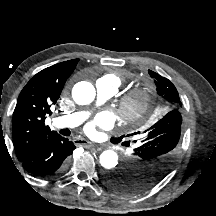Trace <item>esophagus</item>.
<instances>
[{
  "label": "esophagus",
  "mask_w": 216,
  "mask_h": 216,
  "mask_svg": "<svg viewBox=\"0 0 216 216\" xmlns=\"http://www.w3.org/2000/svg\"><path fill=\"white\" fill-rule=\"evenodd\" d=\"M76 144L82 145V146H89V147H96L97 150H101L103 147L100 145H96L93 142L87 141V140H82L80 142V139H75L74 140Z\"/></svg>",
  "instance_id": "34e87169"
}]
</instances>
